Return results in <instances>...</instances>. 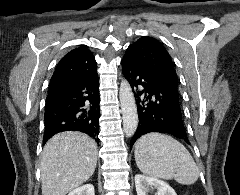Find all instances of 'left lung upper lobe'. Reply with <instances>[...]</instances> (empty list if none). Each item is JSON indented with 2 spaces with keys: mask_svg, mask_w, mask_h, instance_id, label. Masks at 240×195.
I'll return each instance as SVG.
<instances>
[{
  "mask_svg": "<svg viewBox=\"0 0 240 195\" xmlns=\"http://www.w3.org/2000/svg\"><path fill=\"white\" fill-rule=\"evenodd\" d=\"M124 57L147 69L166 85L178 90V77L174 64L169 53L158 40L142 37L126 49Z\"/></svg>",
  "mask_w": 240,
  "mask_h": 195,
  "instance_id": "obj_1",
  "label": "left lung upper lobe"
}]
</instances>
